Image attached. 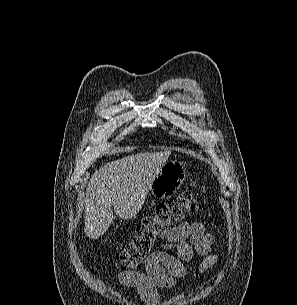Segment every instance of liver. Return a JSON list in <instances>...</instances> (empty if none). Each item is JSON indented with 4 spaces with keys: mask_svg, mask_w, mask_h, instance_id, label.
Returning a JSON list of instances; mask_svg holds the SVG:
<instances>
[{
    "mask_svg": "<svg viewBox=\"0 0 297 305\" xmlns=\"http://www.w3.org/2000/svg\"><path fill=\"white\" fill-rule=\"evenodd\" d=\"M170 152L132 154L109 162L91 177L84 200V232L90 239L102 236L113 222V211L132 219L141 210L149 186Z\"/></svg>",
    "mask_w": 297,
    "mask_h": 305,
    "instance_id": "liver-1",
    "label": "liver"
}]
</instances>
